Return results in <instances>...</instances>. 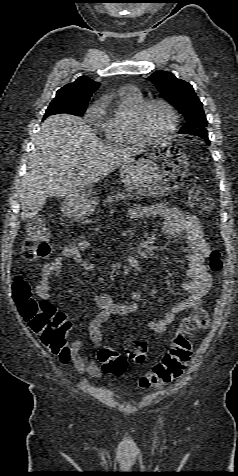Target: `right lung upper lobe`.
I'll list each match as a JSON object with an SVG mask.
<instances>
[{"instance_id":"cb5924a9","label":"right lung upper lobe","mask_w":238,"mask_h":476,"mask_svg":"<svg viewBox=\"0 0 238 476\" xmlns=\"http://www.w3.org/2000/svg\"><path fill=\"white\" fill-rule=\"evenodd\" d=\"M98 86V82L93 81L87 76H80L73 83H69L59 89L56 97H65L71 99L74 103L88 105L92 93L96 91Z\"/></svg>"}]
</instances>
